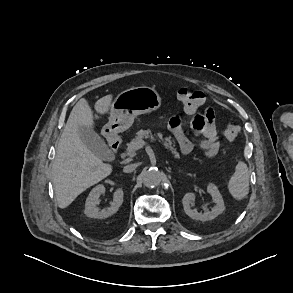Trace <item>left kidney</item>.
<instances>
[{
  "label": "left kidney",
  "mask_w": 293,
  "mask_h": 293,
  "mask_svg": "<svg viewBox=\"0 0 293 293\" xmlns=\"http://www.w3.org/2000/svg\"><path fill=\"white\" fill-rule=\"evenodd\" d=\"M207 192L212 196L215 206L211 209V211L205 213H199L197 210H193L191 208V204L195 201L196 195L194 193H186L182 199V204L184 208V212L192 219L200 220V221H208L213 220L218 215H220L224 209V201L222 196L217 188V186L213 183H210L207 186Z\"/></svg>",
  "instance_id": "left-kidney-1"
}]
</instances>
